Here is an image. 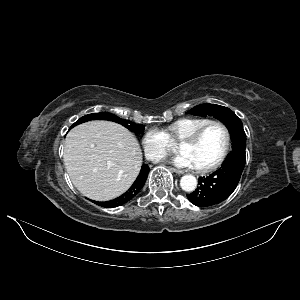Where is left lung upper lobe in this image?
<instances>
[{
    "label": "left lung upper lobe",
    "instance_id": "5c2ea615",
    "mask_svg": "<svg viewBox=\"0 0 300 300\" xmlns=\"http://www.w3.org/2000/svg\"><path fill=\"white\" fill-rule=\"evenodd\" d=\"M188 113L199 116L213 115L222 121L230 132L232 151L245 153L246 134L242 122L229 108L215 104H202L192 108Z\"/></svg>",
    "mask_w": 300,
    "mask_h": 300
}]
</instances>
